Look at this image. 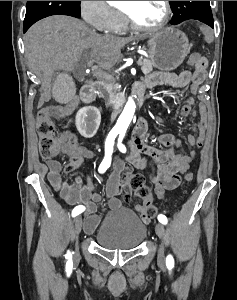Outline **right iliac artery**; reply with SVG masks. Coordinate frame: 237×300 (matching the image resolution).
Masks as SVG:
<instances>
[{"instance_id": "obj_1", "label": "right iliac artery", "mask_w": 237, "mask_h": 300, "mask_svg": "<svg viewBox=\"0 0 237 300\" xmlns=\"http://www.w3.org/2000/svg\"><path fill=\"white\" fill-rule=\"evenodd\" d=\"M118 133H119L118 131H111L107 136L105 142V157L98 168L99 173H104L111 165V155L113 153L114 140L118 135ZM84 210L85 207L83 205L76 206L72 211V217L79 215ZM65 257L71 260L72 254L70 253V251H67Z\"/></svg>"}]
</instances>
